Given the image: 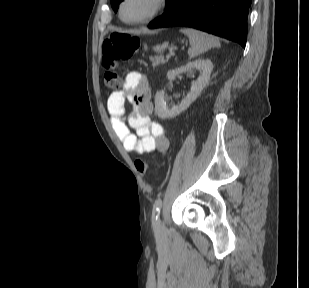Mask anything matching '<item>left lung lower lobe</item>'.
I'll return each instance as SVG.
<instances>
[{"label": "left lung lower lobe", "mask_w": 309, "mask_h": 288, "mask_svg": "<svg viewBox=\"0 0 309 288\" xmlns=\"http://www.w3.org/2000/svg\"><path fill=\"white\" fill-rule=\"evenodd\" d=\"M251 2L252 0H175L148 27H193L245 47Z\"/></svg>", "instance_id": "0a47b994"}]
</instances>
